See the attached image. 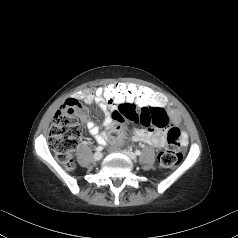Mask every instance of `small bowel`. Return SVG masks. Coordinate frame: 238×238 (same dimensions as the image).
Here are the masks:
<instances>
[{
  "mask_svg": "<svg viewBox=\"0 0 238 238\" xmlns=\"http://www.w3.org/2000/svg\"><path fill=\"white\" fill-rule=\"evenodd\" d=\"M70 99L77 100V101L78 99H83L88 104L96 103L98 105L100 111L104 114V118H103L101 126L89 120L88 112L83 108L81 113V120L84 122L86 128L88 129V132L99 143L105 144L108 141V136L102 129L108 130L112 128L116 122H119L112 117V113L114 111L119 110L123 105H120L118 103H114L111 105L103 103L101 100L97 98L95 90L88 91L86 93H80L75 98H70ZM162 109H164L167 112L172 124H177L179 122L180 115L177 110L165 109V107ZM145 127H150V126H145ZM132 139L134 141H139V142L152 145L156 148H161L166 144L167 131L166 129H162L159 126L155 127V129L138 127L133 130ZM181 143L184 146L188 143L187 135L184 132L181 133Z\"/></svg>",
  "mask_w": 238,
  "mask_h": 238,
  "instance_id": "small-bowel-1",
  "label": "small bowel"
}]
</instances>
